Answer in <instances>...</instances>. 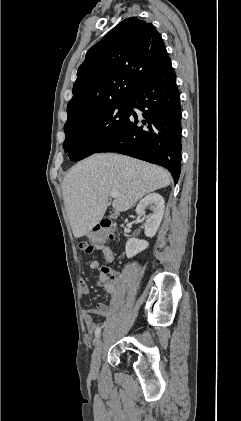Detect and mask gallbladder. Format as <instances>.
I'll list each match as a JSON object with an SVG mask.
<instances>
[{
	"instance_id": "gallbladder-1",
	"label": "gallbladder",
	"mask_w": 241,
	"mask_h": 421,
	"mask_svg": "<svg viewBox=\"0 0 241 421\" xmlns=\"http://www.w3.org/2000/svg\"><path fill=\"white\" fill-rule=\"evenodd\" d=\"M114 216H115V214H113V213H112V214H110V216H109V217H110V218H113Z\"/></svg>"
}]
</instances>
